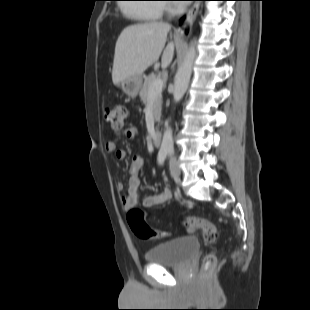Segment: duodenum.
I'll list each match as a JSON object with an SVG mask.
<instances>
[{
    "mask_svg": "<svg viewBox=\"0 0 310 310\" xmlns=\"http://www.w3.org/2000/svg\"><path fill=\"white\" fill-rule=\"evenodd\" d=\"M151 140H152V144L155 147H158L161 145V141H162V132L161 131H154L151 134Z\"/></svg>",
    "mask_w": 310,
    "mask_h": 310,
    "instance_id": "obj_1",
    "label": "duodenum"
}]
</instances>
